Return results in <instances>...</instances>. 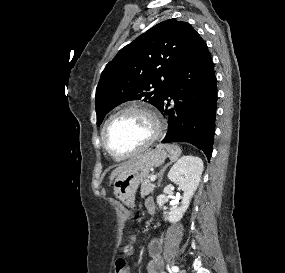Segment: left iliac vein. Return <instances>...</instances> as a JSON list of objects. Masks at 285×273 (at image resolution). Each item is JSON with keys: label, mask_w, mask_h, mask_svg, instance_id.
Wrapping results in <instances>:
<instances>
[{"label": "left iliac vein", "mask_w": 285, "mask_h": 273, "mask_svg": "<svg viewBox=\"0 0 285 273\" xmlns=\"http://www.w3.org/2000/svg\"><path fill=\"white\" fill-rule=\"evenodd\" d=\"M179 273H186V271L185 270H180V272Z\"/></svg>", "instance_id": "left-iliac-vein-1"}]
</instances>
